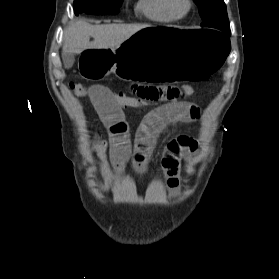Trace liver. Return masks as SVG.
Instances as JSON below:
<instances>
[{"label": "liver", "instance_id": "1", "mask_svg": "<svg viewBox=\"0 0 279 279\" xmlns=\"http://www.w3.org/2000/svg\"><path fill=\"white\" fill-rule=\"evenodd\" d=\"M148 27L150 25L147 24L91 25L79 20L71 23L64 31L63 52L80 54L89 49L116 47L133 34ZM90 37L94 39L92 42Z\"/></svg>", "mask_w": 279, "mask_h": 279}]
</instances>
